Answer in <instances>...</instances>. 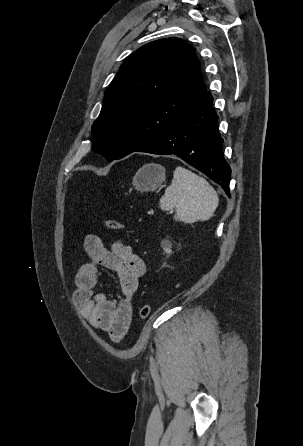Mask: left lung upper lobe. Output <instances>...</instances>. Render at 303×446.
<instances>
[{"instance_id": "obj_1", "label": "left lung upper lobe", "mask_w": 303, "mask_h": 446, "mask_svg": "<svg viewBox=\"0 0 303 446\" xmlns=\"http://www.w3.org/2000/svg\"><path fill=\"white\" fill-rule=\"evenodd\" d=\"M207 86L195 49L179 38L148 43L125 59L92 126L93 150L121 159L165 135Z\"/></svg>"}]
</instances>
